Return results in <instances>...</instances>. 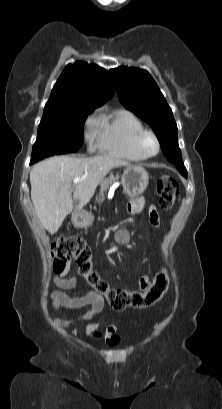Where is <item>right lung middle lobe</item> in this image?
Returning <instances> with one entry per match:
<instances>
[{
    "mask_svg": "<svg viewBox=\"0 0 222 409\" xmlns=\"http://www.w3.org/2000/svg\"><path fill=\"white\" fill-rule=\"evenodd\" d=\"M94 109L78 106L44 110L30 164L52 155L77 151L84 141V122Z\"/></svg>",
    "mask_w": 222,
    "mask_h": 409,
    "instance_id": "right-lung-middle-lobe-1",
    "label": "right lung middle lobe"
}]
</instances>
